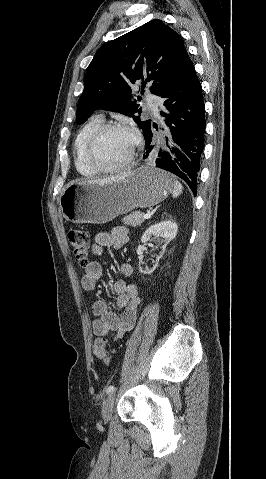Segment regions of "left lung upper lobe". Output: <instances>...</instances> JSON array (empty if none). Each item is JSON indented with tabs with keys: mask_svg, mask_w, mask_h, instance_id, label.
I'll list each match as a JSON object with an SVG mask.
<instances>
[{
	"mask_svg": "<svg viewBox=\"0 0 266 479\" xmlns=\"http://www.w3.org/2000/svg\"><path fill=\"white\" fill-rule=\"evenodd\" d=\"M145 62L148 78L144 81ZM190 63L180 35L158 19L108 41L88 66L76 122L84 123L93 110L102 108L131 116L145 134L151 120L143 121L135 115L141 109L136 100L131 101V85L142 83L143 94L146 82L154 80L151 93L163 97Z\"/></svg>",
	"mask_w": 266,
	"mask_h": 479,
	"instance_id": "obj_1",
	"label": "left lung upper lobe"
}]
</instances>
